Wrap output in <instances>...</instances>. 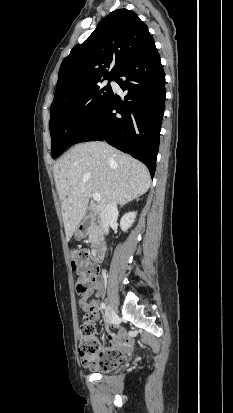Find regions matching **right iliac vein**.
<instances>
[{
    "instance_id": "obj_1",
    "label": "right iliac vein",
    "mask_w": 233,
    "mask_h": 413,
    "mask_svg": "<svg viewBox=\"0 0 233 413\" xmlns=\"http://www.w3.org/2000/svg\"><path fill=\"white\" fill-rule=\"evenodd\" d=\"M106 323L110 325L116 318V314L111 306H108L105 312Z\"/></svg>"
}]
</instances>
